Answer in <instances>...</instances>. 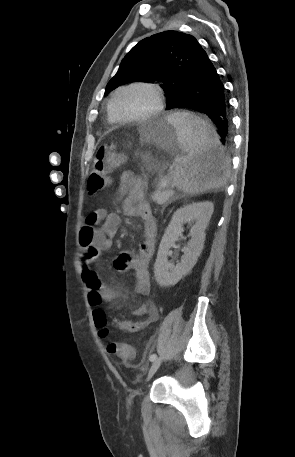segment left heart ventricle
I'll use <instances>...</instances> for the list:
<instances>
[{
    "mask_svg": "<svg viewBox=\"0 0 295 457\" xmlns=\"http://www.w3.org/2000/svg\"><path fill=\"white\" fill-rule=\"evenodd\" d=\"M154 105L153 93L149 89L136 87L118 94L114 102V111L120 117H135L147 113Z\"/></svg>",
    "mask_w": 295,
    "mask_h": 457,
    "instance_id": "left-heart-ventricle-1",
    "label": "left heart ventricle"
}]
</instances>
